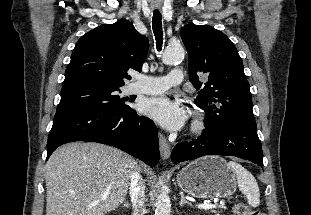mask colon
Wrapping results in <instances>:
<instances>
[{
	"instance_id": "colon-1",
	"label": "colon",
	"mask_w": 311,
	"mask_h": 215,
	"mask_svg": "<svg viewBox=\"0 0 311 215\" xmlns=\"http://www.w3.org/2000/svg\"><path fill=\"white\" fill-rule=\"evenodd\" d=\"M235 215H265L261 211L254 210L246 204H238L235 207Z\"/></svg>"
}]
</instances>
